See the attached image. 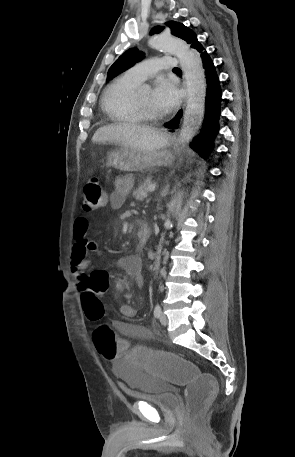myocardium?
Segmentation results:
<instances>
[{"label": "myocardium", "mask_w": 295, "mask_h": 457, "mask_svg": "<svg viewBox=\"0 0 295 457\" xmlns=\"http://www.w3.org/2000/svg\"><path fill=\"white\" fill-rule=\"evenodd\" d=\"M133 102H134V106L135 108L137 109V111L146 119H150V120H156L160 117V115L156 112V111H153L151 109H148L146 107H144L143 105H141L136 96L134 95L133 96Z\"/></svg>", "instance_id": "1"}]
</instances>
